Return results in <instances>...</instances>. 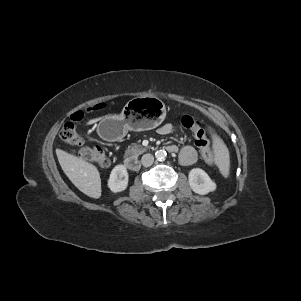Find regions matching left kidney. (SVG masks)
<instances>
[{"mask_svg":"<svg viewBox=\"0 0 301 301\" xmlns=\"http://www.w3.org/2000/svg\"><path fill=\"white\" fill-rule=\"evenodd\" d=\"M188 181L191 189L199 195H206L216 189L215 182L200 168H194L189 172Z\"/></svg>","mask_w":301,"mask_h":301,"instance_id":"obj_1","label":"left kidney"}]
</instances>
